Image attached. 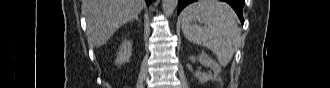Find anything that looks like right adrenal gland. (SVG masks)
<instances>
[{
    "instance_id": "right-adrenal-gland-1",
    "label": "right adrenal gland",
    "mask_w": 330,
    "mask_h": 88,
    "mask_svg": "<svg viewBox=\"0 0 330 88\" xmlns=\"http://www.w3.org/2000/svg\"><path fill=\"white\" fill-rule=\"evenodd\" d=\"M134 19L137 20L138 22H140V19L138 16H136Z\"/></svg>"
}]
</instances>
